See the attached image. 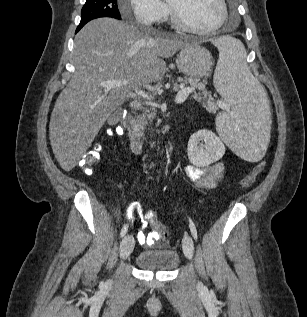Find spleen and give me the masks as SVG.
<instances>
[{
	"instance_id": "1",
	"label": "spleen",
	"mask_w": 307,
	"mask_h": 317,
	"mask_svg": "<svg viewBox=\"0 0 307 317\" xmlns=\"http://www.w3.org/2000/svg\"><path fill=\"white\" fill-rule=\"evenodd\" d=\"M210 47H217L219 59L214 72V86L228 101L233 114H220L216 119L217 132L234 149L241 160H260L269 150L271 139V107L266 86H261L246 63L243 44L217 33Z\"/></svg>"
}]
</instances>
